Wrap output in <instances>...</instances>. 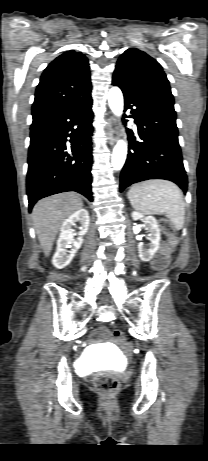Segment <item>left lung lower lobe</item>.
<instances>
[{
	"instance_id": "obj_1",
	"label": "left lung lower lobe",
	"mask_w": 208,
	"mask_h": 461,
	"mask_svg": "<svg viewBox=\"0 0 208 461\" xmlns=\"http://www.w3.org/2000/svg\"><path fill=\"white\" fill-rule=\"evenodd\" d=\"M123 94L125 111L131 109L130 117L135 119L141 141L128 132L130 150L121 171L120 192L133 183L165 179L186 193L188 181L178 143L174 105L141 99L124 91Z\"/></svg>"
}]
</instances>
